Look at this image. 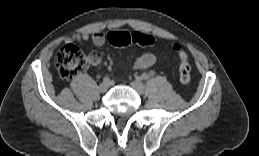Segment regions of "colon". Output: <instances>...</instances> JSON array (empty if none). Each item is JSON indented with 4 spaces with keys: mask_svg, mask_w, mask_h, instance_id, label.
Returning <instances> with one entry per match:
<instances>
[{
    "mask_svg": "<svg viewBox=\"0 0 259 156\" xmlns=\"http://www.w3.org/2000/svg\"><path fill=\"white\" fill-rule=\"evenodd\" d=\"M107 38L111 44L117 47H125L130 44L145 47L152 45L154 42L151 36L138 31H112L108 33ZM172 48L178 53L180 58V81L183 85H188L191 80V67L188 61V56L180 44H174ZM55 64L60 77L65 80H70L87 68L88 59L83 51L77 46L66 44L58 50L55 56Z\"/></svg>",
    "mask_w": 259,
    "mask_h": 156,
    "instance_id": "5ec220e1",
    "label": "colon"
}]
</instances>
